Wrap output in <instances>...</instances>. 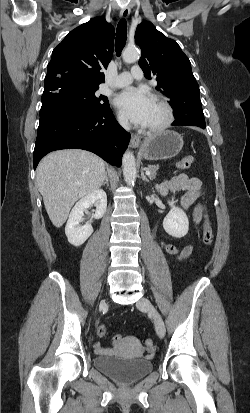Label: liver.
<instances>
[{
  "mask_svg": "<svg viewBox=\"0 0 250 413\" xmlns=\"http://www.w3.org/2000/svg\"><path fill=\"white\" fill-rule=\"evenodd\" d=\"M105 175V162L85 150H59L45 156L37 167L36 182L53 225L61 227L74 203L98 190Z\"/></svg>",
  "mask_w": 250,
  "mask_h": 413,
  "instance_id": "6515ba94",
  "label": "liver"
}]
</instances>
